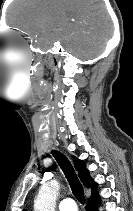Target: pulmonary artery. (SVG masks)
I'll return each instance as SVG.
<instances>
[{"instance_id": "pulmonary-artery-1", "label": "pulmonary artery", "mask_w": 133, "mask_h": 211, "mask_svg": "<svg viewBox=\"0 0 133 211\" xmlns=\"http://www.w3.org/2000/svg\"><path fill=\"white\" fill-rule=\"evenodd\" d=\"M59 211H78L77 205L72 198H65L59 202Z\"/></svg>"}]
</instances>
